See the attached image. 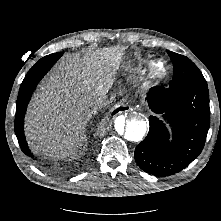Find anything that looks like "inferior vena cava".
<instances>
[{"mask_svg": "<svg viewBox=\"0 0 221 221\" xmlns=\"http://www.w3.org/2000/svg\"><path fill=\"white\" fill-rule=\"evenodd\" d=\"M108 105V100L105 97H99L93 103L92 112L96 113L97 110H100Z\"/></svg>", "mask_w": 221, "mask_h": 221, "instance_id": "602c4592", "label": "inferior vena cava"}]
</instances>
